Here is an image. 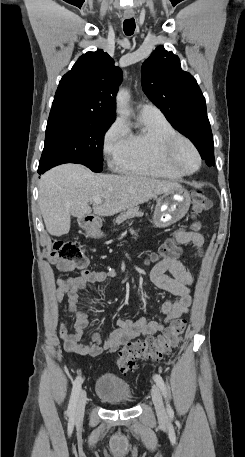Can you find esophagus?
Segmentation results:
<instances>
[{
    "label": "esophagus",
    "mask_w": 245,
    "mask_h": 457,
    "mask_svg": "<svg viewBox=\"0 0 245 457\" xmlns=\"http://www.w3.org/2000/svg\"><path fill=\"white\" fill-rule=\"evenodd\" d=\"M123 15H124V18H126V19L127 18H132V17H134V12H131V13H126L125 12Z\"/></svg>",
    "instance_id": "esophagus-1"
}]
</instances>
